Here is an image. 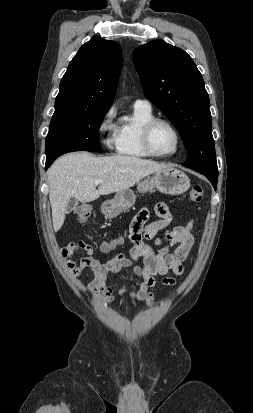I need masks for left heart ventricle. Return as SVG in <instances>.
<instances>
[{
    "mask_svg": "<svg viewBox=\"0 0 253 413\" xmlns=\"http://www.w3.org/2000/svg\"><path fill=\"white\" fill-rule=\"evenodd\" d=\"M151 142L154 150L160 154L171 153L176 146L175 135L165 124H158L154 127Z\"/></svg>",
    "mask_w": 253,
    "mask_h": 413,
    "instance_id": "obj_1",
    "label": "left heart ventricle"
}]
</instances>
